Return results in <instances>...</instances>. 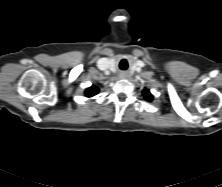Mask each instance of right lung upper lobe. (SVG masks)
I'll list each match as a JSON object with an SVG mask.
<instances>
[{
	"label": "right lung upper lobe",
	"instance_id": "right-lung-upper-lobe-1",
	"mask_svg": "<svg viewBox=\"0 0 222 187\" xmlns=\"http://www.w3.org/2000/svg\"><path fill=\"white\" fill-rule=\"evenodd\" d=\"M98 92H99V88L94 85L85 90V94L87 97L95 96Z\"/></svg>",
	"mask_w": 222,
	"mask_h": 187
}]
</instances>
